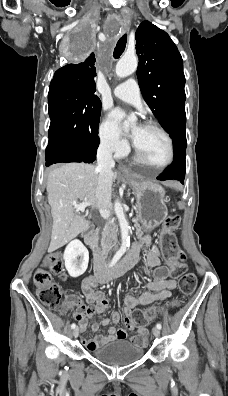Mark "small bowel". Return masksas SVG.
I'll list each match as a JSON object with an SVG mask.
<instances>
[{"label":"small bowel","mask_w":228,"mask_h":396,"mask_svg":"<svg viewBox=\"0 0 228 396\" xmlns=\"http://www.w3.org/2000/svg\"><path fill=\"white\" fill-rule=\"evenodd\" d=\"M147 244L151 247L146 255V263L153 268V280L146 284L148 291L138 293L137 287H133L131 292L125 296L123 313L125 316V325L128 330H136V335L129 336L124 328H117L115 325L120 321V314L114 312L110 318H105L101 322H94L92 330L97 332L100 326L108 327L107 335H97L92 339L83 337L82 344L89 350L98 347L101 344L113 340H127L137 343L139 345L146 344L148 340V330L144 327H137L131 321V313L133 308L137 305H149L153 302L172 297V291L176 288V281L170 277V269L161 262V253L152 236H145L141 242L133 246L132 252L129 256L135 258L137 261L141 244ZM106 283L99 274L86 277L82 282V291L89 306L80 304L75 318L79 323V328L82 333L87 328V322L90 317L95 314H102L108 307V300L105 294L96 290L99 284Z\"/></svg>","instance_id":"1"}]
</instances>
